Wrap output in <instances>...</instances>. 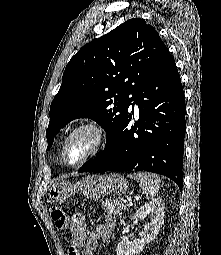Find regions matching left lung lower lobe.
<instances>
[{"mask_svg": "<svg viewBox=\"0 0 221 255\" xmlns=\"http://www.w3.org/2000/svg\"><path fill=\"white\" fill-rule=\"evenodd\" d=\"M139 119L128 112L103 151L78 172L149 171L172 179L182 190L185 100L180 76L168 49L134 99ZM134 107V105H133Z\"/></svg>", "mask_w": 221, "mask_h": 255, "instance_id": "1", "label": "left lung lower lobe"}]
</instances>
